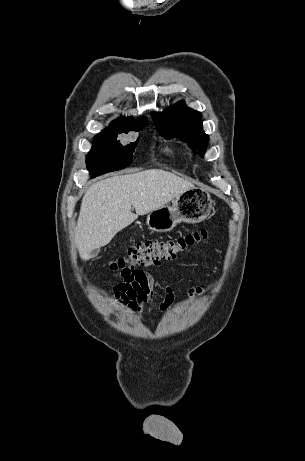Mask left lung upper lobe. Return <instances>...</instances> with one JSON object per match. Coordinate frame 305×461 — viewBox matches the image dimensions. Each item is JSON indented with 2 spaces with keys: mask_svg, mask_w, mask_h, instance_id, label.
<instances>
[{
  "mask_svg": "<svg viewBox=\"0 0 305 461\" xmlns=\"http://www.w3.org/2000/svg\"><path fill=\"white\" fill-rule=\"evenodd\" d=\"M151 116L163 137L167 139L180 137L193 150L199 149V154L204 155L209 137L202 130L200 112L186 107L184 102L180 101L163 112H152Z\"/></svg>",
  "mask_w": 305,
  "mask_h": 461,
  "instance_id": "left-lung-upper-lobe-1",
  "label": "left lung upper lobe"
}]
</instances>
